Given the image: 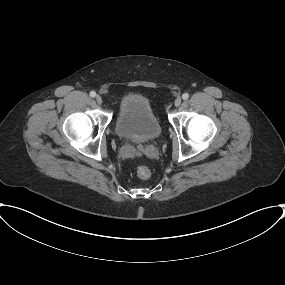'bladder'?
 Wrapping results in <instances>:
<instances>
[{"label": "bladder", "instance_id": "1", "mask_svg": "<svg viewBox=\"0 0 285 285\" xmlns=\"http://www.w3.org/2000/svg\"><path fill=\"white\" fill-rule=\"evenodd\" d=\"M115 130L120 138L146 143L160 135L161 126L149 99L140 93H130L120 103Z\"/></svg>", "mask_w": 285, "mask_h": 285}]
</instances>
